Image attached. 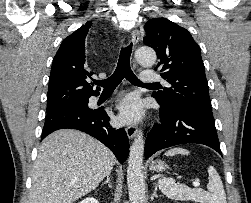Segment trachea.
Segmentation results:
<instances>
[{"label":"trachea","mask_w":251,"mask_h":203,"mask_svg":"<svg viewBox=\"0 0 251 203\" xmlns=\"http://www.w3.org/2000/svg\"><path fill=\"white\" fill-rule=\"evenodd\" d=\"M132 52V43L121 49L117 67L114 73L105 80L96 81L97 86L103 87L106 90H114L121 81L126 78L134 85L158 86L159 84H143L133 73L130 67V56Z\"/></svg>","instance_id":"obj_1"}]
</instances>
